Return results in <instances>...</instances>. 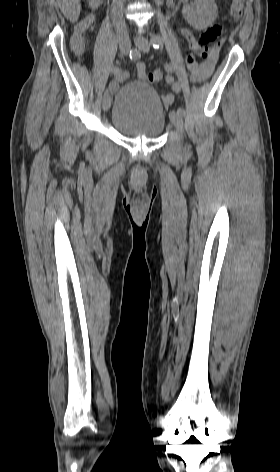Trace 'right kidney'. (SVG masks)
I'll use <instances>...</instances> for the list:
<instances>
[{
    "label": "right kidney",
    "instance_id": "1",
    "mask_svg": "<svg viewBox=\"0 0 280 472\" xmlns=\"http://www.w3.org/2000/svg\"><path fill=\"white\" fill-rule=\"evenodd\" d=\"M99 5H100V0H91V1H89V6L93 10L97 9L99 7Z\"/></svg>",
    "mask_w": 280,
    "mask_h": 472
}]
</instances>
